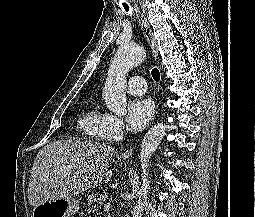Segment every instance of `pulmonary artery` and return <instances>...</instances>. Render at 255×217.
<instances>
[{
    "instance_id": "1",
    "label": "pulmonary artery",
    "mask_w": 255,
    "mask_h": 217,
    "mask_svg": "<svg viewBox=\"0 0 255 217\" xmlns=\"http://www.w3.org/2000/svg\"><path fill=\"white\" fill-rule=\"evenodd\" d=\"M128 91L133 95H142L146 92V81L141 76H132L127 81Z\"/></svg>"
}]
</instances>
